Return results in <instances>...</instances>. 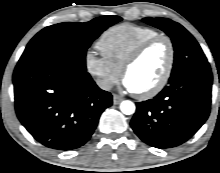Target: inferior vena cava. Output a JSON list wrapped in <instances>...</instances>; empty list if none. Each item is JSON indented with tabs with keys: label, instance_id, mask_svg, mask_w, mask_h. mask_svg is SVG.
<instances>
[{
	"label": "inferior vena cava",
	"instance_id": "1",
	"mask_svg": "<svg viewBox=\"0 0 220 173\" xmlns=\"http://www.w3.org/2000/svg\"><path fill=\"white\" fill-rule=\"evenodd\" d=\"M97 85L101 89L106 90V91H109L112 88V83L109 80H106V79L97 80Z\"/></svg>",
	"mask_w": 220,
	"mask_h": 173
}]
</instances>
